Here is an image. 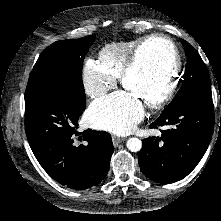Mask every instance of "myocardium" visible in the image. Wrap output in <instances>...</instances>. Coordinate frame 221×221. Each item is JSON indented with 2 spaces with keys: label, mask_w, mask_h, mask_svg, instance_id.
Wrapping results in <instances>:
<instances>
[{
  "label": "myocardium",
  "mask_w": 221,
  "mask_h": 221,
  "mask_svg": "<svg viewBox=\"0 0 221 221\" xmlns=\"http://www.w3.org/2000/svg\"><path fill=\"white\" fill-rule=\"evenodd\" d=\"M155 40H162L168 44L174 64L164 91L156 94L155 98L152 101L145 104V106L149 109H159L164 106L170 100L177 87V81L180 76L182 61L175 42L169 36L164 34H152L141 38V40L138 41L131 50L128 61L120 75V84L123 88H125L127 77L135 68L141 50L148 43Z\"/></svg>",
  "instance_id": "f54148a6"
}]
</instances>
